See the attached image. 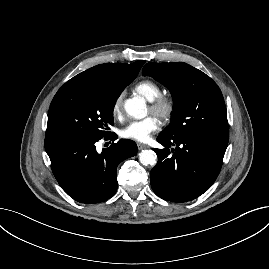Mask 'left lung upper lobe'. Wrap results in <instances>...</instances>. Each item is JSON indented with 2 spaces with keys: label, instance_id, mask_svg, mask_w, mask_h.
Wrapping results in <instances>:
<instances>
[{
  "label": "left lung upper lobe",
  "instance_id": "obj_1",
  "mask_svg": "<svg viewBox=\"0 0 269 269\" xmlns=\"http://www.w3.org/2000/svg\"><path fill=\"white\" fill-rule=\"evenodd\" d=\"M142 73L166 86L173 97L172 122L160 137L174 139L193 132L229 134L223 95L205 73L182 62L148 63Z\"/></svg>",
  "mask_w": 269,
  "mask_h": 269
}]
</instances>
